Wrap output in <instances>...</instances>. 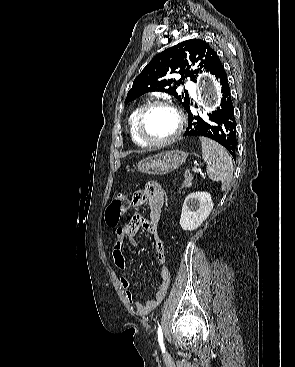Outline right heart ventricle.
<instances>
[{
  "instance_id": "obj_1",
  "label": "right heart ventricle",
  "mask_w": 295,
  "mask_h": 367,
  "mask_svg": "<svg viewBox=\"0 0 295 367\" xmlns=\"http://www.w3.org/2000/svg\"><path fill=\"white\" fill-rule=\"evenodd\" d=\"M142 106L138 105L136 106L130 113L129 117H128V127H129V134H130V137L132 139V141L140 146V147H146L147 145L144 144L138 137L137 133H136V129H135V122H136V117H137V114L140 110Z\"/></svg>"
}]
</instances>
